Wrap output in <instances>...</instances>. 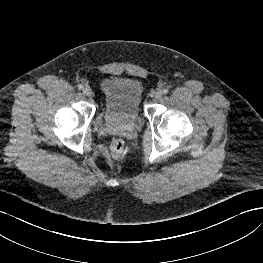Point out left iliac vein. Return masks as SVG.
I'll return each instance as SVG.
<instances>
[{
	"mask_svg": "<svg viewBox=\"0 0 263 263\" xmlns=\"http://www.w3.org/2000/svg\"><path fill=\"white\" fill-rule=\"evenodd\" d=\"M162 95H163V92H162L161 90H158V91H156V92L154 93V97H155L156 99H160V98L162 97Z\"/></svg>",
	"mask_w": 263,
	"mask_h": 263,
	"instance_id": "1",
	"label": "left iliac vein"
}]
</instances>
